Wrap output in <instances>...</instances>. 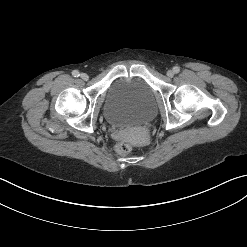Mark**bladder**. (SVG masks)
<instances>
[{
    "mask_svg": "<svg viewBox=\"0 0 247 247\" xmlns=\"http://www.w3.org/2000/svg\"><path fill=\"white\" fill-rule=\"evenodd\" d=\"M156 113L154 90L143 78L122 77L107 90L103 114L106 121L115 127L147 124Z\"/></svg>",
    "mask_w": 247,
    "mask_h": 247,
    "instance_id": "obj_1",
    "label": "bladder"
}]
</instances>
